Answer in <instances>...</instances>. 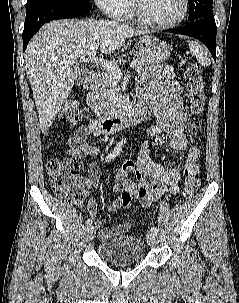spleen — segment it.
<instances>
[{
  "mask_svg": "<svg viewBox=\"0 0 239 303\" xmlns=\"http://www.w3.org/2000/svg\"><path fill=\"white\" fill-rule=\"evenodd\" d=\"M191 54L196 57L198 62L203 66H210L211 60L207 49L200 44L189 41L188 42Z\"/></svg>",
  "mask_w": 239,
  "mask_h": 303,
  "instance_id": "obj_1",
  "label": "spleen"
}]
</instances>
